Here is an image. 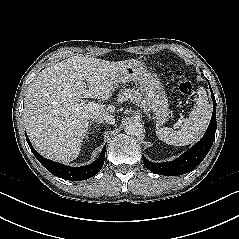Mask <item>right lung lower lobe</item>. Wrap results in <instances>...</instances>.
<instances>
[{
  "label": "right lung lower lobe",
  "mask_w": 239,
  "mask_h": 239,
  "mask_svg": "<svg viewBox=\"0 0 239 239\" xmlns=\"http://www.w3.org/2000/svg\"><path fill=\"white\" fill-rule=\"evenodd\" d=\"M26 140L29 144V147L37 160L53 175L60 177L62 179L71 180V181H80L88 179L95 174H97L104 165L105 160V148L103 147L102 152L99 158L92 164L83 166V167H70L54 161L48 160L41 156L35 149L32 147L28 136L26 135Z\"/></svg>",
  "instance_id": "right-lung-lower-lobe-1"
}]
</instances>
